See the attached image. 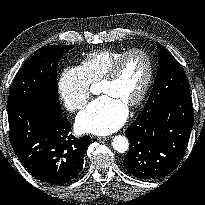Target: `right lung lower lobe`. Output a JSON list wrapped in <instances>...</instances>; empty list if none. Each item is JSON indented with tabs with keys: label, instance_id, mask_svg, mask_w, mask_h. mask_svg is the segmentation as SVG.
I'll list each match as a JSON object with an SVG mask.
<instances>
[{
	"label": "right lung lower lobe",
	"instance_id": "right-lung-lower-lobe-1",
	"mask_svg": "<svg viewBox=\"0 0 205 205\" xmlns=\"http://www.w3.org/2000/svg\"><path fill=\"white\" fill-rule=\"evenodd\" d=\"M10 141L16 155L38 180L65 184L82 170L90 136L74 138L60 112L31 101L8 102Z\"/></svg>",
	"mask_w": 205,
	"mask_h": 205
}]
</instances>
